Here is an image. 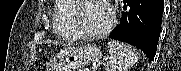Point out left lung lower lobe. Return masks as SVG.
Returning a JSON list of instances; mask_svg holds the SVG:
<instances>
[{
  "instance_id": "obj_1",
  "label": "left lung lower lobe",
  "mask_w": 181,
  "mask_h": 71,
  "mask_svg": "<svg viewBox=\"0 0 181 71\" xmlns=\"http://www.w3.org/2000/svg\"><path fill=\"white\" fill-rule=\"evenodd\" d=\"M123 3L121 23L110 38L141 49L152 61L160 36L164 0H123Z\"/></svg>"
}]
</instances>
